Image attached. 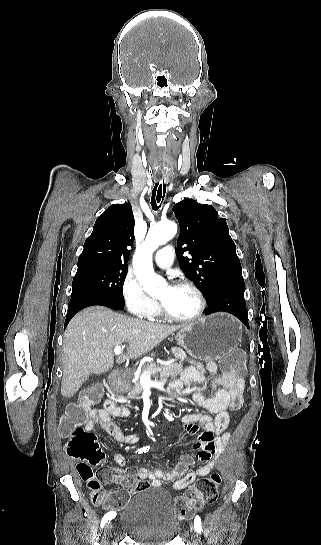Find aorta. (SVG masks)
I'll return each instance as SVG.
<instances>
[{"mask_svg": "<svg viewBox=\"0 0 321 545\" xmlns=\"http://www.w3.org/2000/svg\"><path fill=\"white\" fill-rule=\"evenodd\" d=\"M176 232L177 225L171 221L159 222L151 226L141 251L133 259L135 275L148 294L156 295L160 288L166 285L165 280L154 273L152 253L171 240Z\"/></svg>", "mask_w": 321, "mask_h": 545, "instance_id": "obj_1", "label": "aorta"}]
</instances>
